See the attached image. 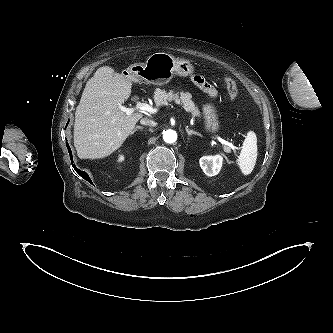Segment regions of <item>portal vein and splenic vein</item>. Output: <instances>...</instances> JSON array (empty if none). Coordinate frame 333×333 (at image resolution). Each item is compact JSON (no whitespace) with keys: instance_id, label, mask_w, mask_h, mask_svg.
Here are the masks:
<instances>
[{"instance_id":"1","label":"portal vein and splenic vein","mask_w":333,"mask_h":333,"mask_svg":"<svg viewBox=\"0 0 333 333\" xmlns=\"http://www.w3.org/2000/svg\"><path fill=\"white\" fill-rule=\"evenodd\" d=\"M119 108H120L121 111L125 112L127 115H130V114L134 113L136 110L146 111V112H149V113H156L157 112V109L152 108L150 105H148L146 103H142V102H137L136 107H134V108H126V107H124L122 105H120ZM218 140H219V142L222 145L229 146L233 150L236 149L235 146L231 145L230 143H228L227 141L223 140L222 138L218 137ZM230 148H226L225 150L227 152H229Z\"/></svg>"}]
</instances>
